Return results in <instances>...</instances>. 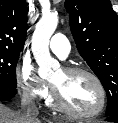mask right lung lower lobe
Returning a JSON list of instances; mask_svg holds the SVG:
<instances>
[{
  "label": "right lung lower lobe",
  "instance_id": "98d812e1",
  "mask_svg": "<svg viewBox=\"0 0 118 123\" xmlns=\"http://www.w3.org/2000/svg\"><path fill=\"white\" fill-rule=\"evenodd\" d=\"M16 89H3L0 88V100L7 101L16 95Z\"/></svg>",
  "mask_w": 118,
  "mask_h": 123
}]
</instances>
